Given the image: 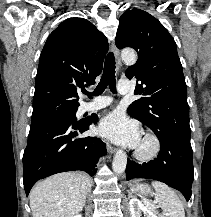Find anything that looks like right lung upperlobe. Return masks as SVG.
Segmentation results:
<instances>
[{"mask_svg":"<svg viewBox=\"0 0 211 217\" xmlns=\"http://www.w3.org/2000/svg\"><path fill=\"white\" fill-rule=\"evenodd\" d=\"M108 41L88 20L63 21L40 55L31 119L77 109L78 89L93 85L101 73Z\"/></svg>","mask_w":211,"mask_h":217,"instance_id":"cb5924a9","label":"right lung upper lobe"}]
</instances>
